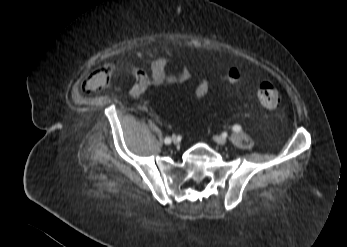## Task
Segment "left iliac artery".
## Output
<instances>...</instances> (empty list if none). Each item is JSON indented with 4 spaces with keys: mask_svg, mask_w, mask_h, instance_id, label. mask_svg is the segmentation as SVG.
<instances>
[{
    "mask_svg": "<svg viewBox=\"0 0 347 247\" xmlns=\"http://www.w3.org/2000/svg\"><path fill=\"white\" fill-rule=\"evenodd\" d=\"M241 130H242V128H241L240 125H237V124H236V125L233 126V131H234V132H237V133H238V132H240Z\"/></svg>",
    "mask_w": 347,
    "mask_h": 247,
    "instance_id": "obj_1",
    "label": "left iliac artery"
}]
</instances>
